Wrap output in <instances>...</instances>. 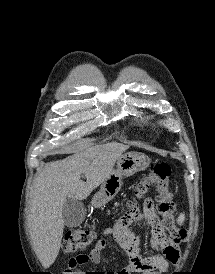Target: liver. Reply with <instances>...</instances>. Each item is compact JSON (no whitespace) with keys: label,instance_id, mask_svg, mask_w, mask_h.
<instances>
[{"label":"liver","instance_id":"obj_1","mask_svg":"<svg viewBox=\"0 0 215 274\" xmlns=\"http://www.w3.org/2000/svg\"><path fill=\"white\" fill-rule=\"evenodd\" d=\"M127 149L120 143L80 148L63 160L47 163L39 173L31 191L29 229L32 246L44 268L54 263L61 247L66 199H86L111 175L115 162Z\"/></svg>","mask_w":215,"mask_h":274}]
</instances>
